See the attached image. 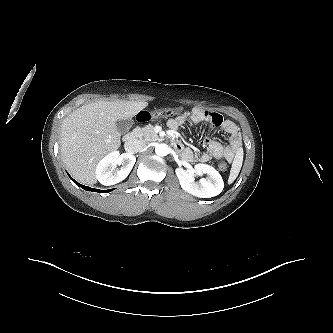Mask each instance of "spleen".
<instances>
[{
    "instance_id": "obj_1",
    "label": "spleen",
    "mask_w": 333,
    "mask_h": 333,
    "mask_svg": "<svg viewBox=\"0 0 333 333\" xmlns=\"http://www.w3.org/2000/svg\"><path fill=\"white\" fill-rule=\"evenodd\" d=\"M243 162V151H238L232 163V168L230 171L228 183L231 184L238 176Z\"/></svg>"
}]
</instances>
